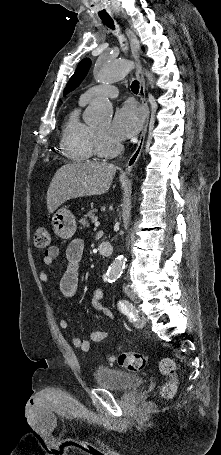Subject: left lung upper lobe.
<instances>
[{
    "mask_svg": "<svg viewBox=\"0 0 221 455\" xmlns=\"http://www.w3.org/2000/svg\"><path fill=\"white\" fill-rule=\"evenodd\" d=\"M91 61L88 58L83 59L77 66V69L73 76L70 78V80L67 83L66 88L64 89V95L69 93L70 91L74 90L81 81L84 79L86 76L89 68H90Z\"/></svg>",
    "mask_w": 221,
    "mask_h": 455,
    "instance_id": "obj_1",
    "label": "left lung upper lobe"
}]
</instances>
